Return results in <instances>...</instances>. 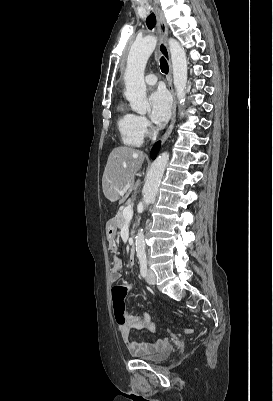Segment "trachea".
I'll use <instances>...</instances> for the list:
<instances>
[{
	"instance_id": "1",
	"label": "trachea",
	"mask_w": 273,
	"mask_h": 401,
	"mask_svg": "<svg viewBox=\"0 0 273 401\" xmlns=\"http://www.w3.org/2000/svg\"><path fill=\"white\" fill-rule=\"evenodd\" d=\"M146 23H147V27H148L149 29H153V27H155V25H156V18H155L154 13L149 14ZM160 68H161V71H162L163 73H168V71H169L168 62H167V60H166L164 57H162V58L160 59Z\"/></svg>"
}]
</instances>
